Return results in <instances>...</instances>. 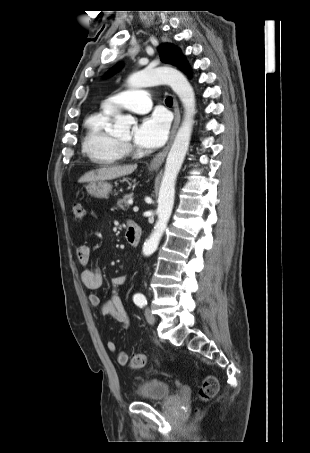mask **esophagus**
Segmentation results:
<instances>
[{"label": "esophagus", "instance_id": "1", "mask_svg": "<svg viewBox=\"0 0 310 453\" xmlns=\"http://www.w3.org/2000/svg\"><path fill=\"white\" fill-rule=\"evenodd\" d=\"M173 110H174L175 118H174L172 130H171L169 142L166 145V147L152 159V161L150 162L151 168H158L162 165V163L164 162L165 157L170 149L172 141L175 137L177 128L179 126L181 115H180L179 105H178L176 98L174 99Z\"/></svg>", "mask_w": 310, "mask_h": 453}]
</instances>
